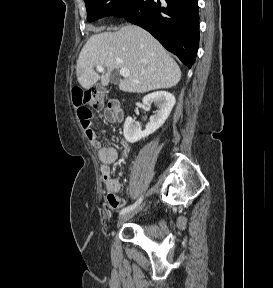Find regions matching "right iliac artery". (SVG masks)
<instances>
[{"mask_svg":"<svg viewBox=\"0 0 273 288\" xmlns=\"http://www.w3.org/2000/svg\"><path fill=\"white\" fill-rule=\"evenodd\" d=\"M142 201V197H140V199L135 202L134 204L130 205V206H127L125 208H123L121 211H120V215H123L129 211H132L133 209H135Z\"/></svg>","mask_w":273,"mask_h":288,"instance_id":"obj_1","label":"right iliac artery"}]
</instances>
